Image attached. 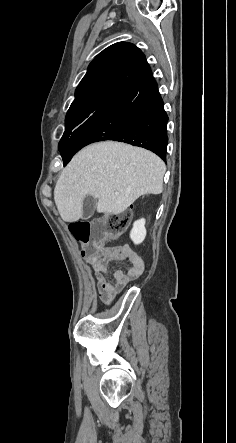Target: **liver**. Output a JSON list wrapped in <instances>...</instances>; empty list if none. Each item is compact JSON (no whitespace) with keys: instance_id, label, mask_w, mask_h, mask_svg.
I'll list each match as a JSON object with an SVG mask.
<instances>
[{"instance_id":"liver-1","label":"liver","mask_w":236,"mask_h":443,"mask_svg":"<svg viewBox=\"0 0 236 443\" xmlns=\"http://www.w3.org/2000/svg\"><path fill=\"white\" fill-rule=\"evenodd\" d=\"M165 171V163L148 150L113 141L95 143L63 169L54 201L66 222L82 217L86 195L98 199L97 212L117 215L142 195L160 194Z\"/></svg>"}]
</instances>
